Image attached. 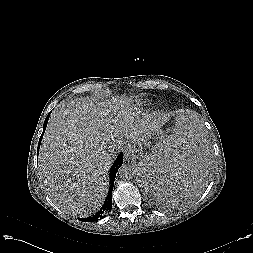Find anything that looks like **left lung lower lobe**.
<instances>
[{
	"instance_id": "obj_1",
	"label": "left lung lower lobe",
	"mask_w": 253,
	"mask_h": 253,
	"mask_svg": "<svg viewBox=\"0 0 253 253\" xmlns=\"http://www.w3.org/2000/svg\"><path fill=\"white\" fill-rule=\"evenodd\" d=\"M152 175V176H151ZM153 175L155 177H153ZM162 174H160L159 172H153L152 174L149 175V177H152V183H151V186H155L157 185L156 187H152L151 190L152 192H155V194H157V192L159 191L160 187H169V185L167 184L166 180L164 181L163 178L161 177ZM155 178V180L153 179ZM166 182V183H165ZM150 186V187H151ZM159 187V189H157ZM154 195V193H153ZM158 198V197H157ZM160 201H162V203L164 202V199H158Z\"/></svg>"
}]
</instances>
